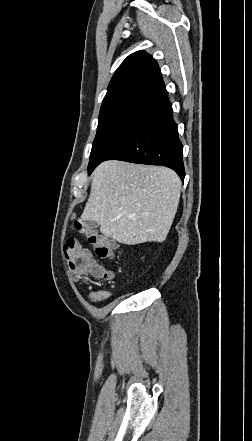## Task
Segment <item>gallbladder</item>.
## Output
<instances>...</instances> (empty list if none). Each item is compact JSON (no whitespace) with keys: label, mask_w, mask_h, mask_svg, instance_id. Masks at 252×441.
<instances>
[{"label":"gallbladder","mask_w":252,"mask_h":441,"mask_svg":"<svg viewBox=\"0 0 252 441\" xmlns=\"http://www.w3.org/2000/svg\"><path fill=\"white\" fill-rule=\"evenodd\" d=\"M85 225L89 229H96L99 226L98 222L93 220L86 221Z\"/></svg>","instance_id":"1"}]
</instances>
